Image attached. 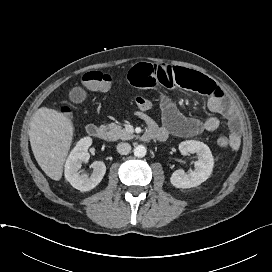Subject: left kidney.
Listing matches in <instances>:
<instances>
[{"instance_id":"left-kidney-1","label":"left kidney","mask_w":272,"mask_h":272,"mask_svg":"<svg viewBox=\"0 0 272 272\" xmlns=\"http://www.w3.org/2000/svg\"><path fill=\"white\" fill-rule=\"evenodd\" d=\"M179 150L184 154L195 153L198 161L194 162L195 169L188 174L183 170L173 172L170 177L171 184L176 188H191L206 181L214 166V159L209 147L200 141L187 140L179 144Z\"/></svg>"}]
</instances>
